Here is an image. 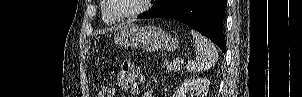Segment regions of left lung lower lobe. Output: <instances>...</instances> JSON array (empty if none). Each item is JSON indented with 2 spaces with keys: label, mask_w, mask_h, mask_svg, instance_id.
<instances>
[{
  "label": "left lung lower lobe",
  "mask_w": 302,
  "mask_h": 97,
  "mask_svg": "<svg viewBox=\"0 0 302 97\" xmlns=\"http://www.w3.org/2000/svg\"><path fill=\"white\" fill-rule=\"evenodd\" d=\"M227 0H155L138 19L173 18L207 36L225 53L223 18Z\"/></svg>",
  "instance_id": "1"
}]
</instances>
